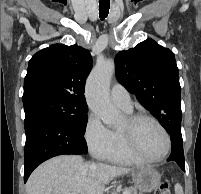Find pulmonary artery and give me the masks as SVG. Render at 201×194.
Returning a JSON list of instances; mask_svg holds the SVG:
<instances>
[{
	"mask_svg": "<svg viewBox=\"0 0 201 194\" xmlns=\"http://www.w3.org/2000/svg\"><path fill=\"white\" fill-rule=\"evenodd\" d=\"M110 98L113 104L123 110H132V100L129 92L121 84H114L110 91Z\"/></svg>",
	"mask_w": 201,
	"mask_h": 194,
	"instance_id": "obj_1",
	"label": "pulmonary artery"
}]
</instances>
